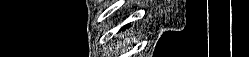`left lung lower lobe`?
Returning <instances> with one entry per match:
<instances>
[{
    "mask_svg": "<svg viewBox=\"0 0 249 57\" xmlns=\"http://www.w3.org/2000/svg\"><path fill=\"white\" fill-rule=\"evenodd\" d=\"M128 26H129V25L124 26L123 29H126Z\"/></svg>",
    "mask_w": 249,
    "mask_h": 57,
    "instance_id": "0a47b994",
    "label": "left lung lower lobe"
}]
</instances>
